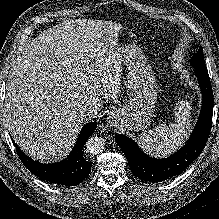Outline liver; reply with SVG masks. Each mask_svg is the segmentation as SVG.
I'll list each match as a JSON object with an SVG mask.
<instances>
[{"label":"liver","mask_w":219,"mask_h":219,"mask_svg":"<svg viewBox=\"0 0 219 219\" xmlns=\"http://www.w3.org/2000/svg\"><path fill=\"white\" fill-rule=\"evenodd\" d=\"M111 21L66 20L39 34L12 63L5 95L9 131L34 159H57L74 144L83 107L101 110L120 92Z\"/></svg>","instance_id":"6515ba94"}]
</instances>
